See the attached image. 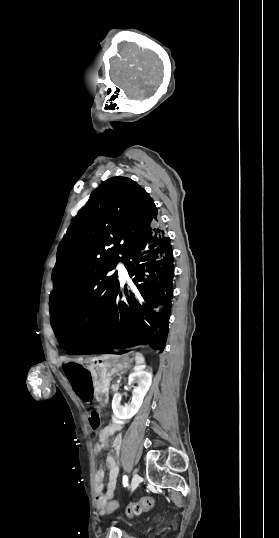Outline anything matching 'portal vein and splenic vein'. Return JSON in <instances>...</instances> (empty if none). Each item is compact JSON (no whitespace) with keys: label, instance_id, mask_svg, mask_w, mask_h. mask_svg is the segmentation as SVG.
Instances as JSON below:
<instances>
[{"label":"portal vein and splenic vein","instance_id":"obj_1","mask_svg":"<svg viewBox=\"0 0 279 538\" xmlns=\"http://www.w3.org/2000/svg\"><path fill=\"white\" fill-rule=\"evenodd\" d=\"M120 380H123V377H119V380H115V383H120Z\"/></svg>","mask_w":279,"mask_h":538}]
</instances>
